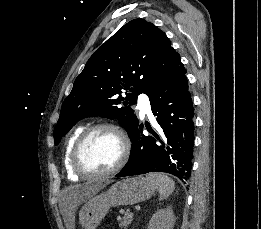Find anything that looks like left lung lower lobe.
Returning <instances> with one entry per match:
<instances>
[{
  "label": "left lung lower lobe",
  "mask_w": 261,
  "mask_h": 229,
  "mask_svg": "<svg viewBox=\"0 0 261 229\" xmlns=\"http://www.w3.org/2000/svg\"><path fill=\"white\" fill-rule=\"evenodd\" d=\"M186 69L180 63L148 94L159 124L154 136L142 135L139 125L130 137L131 156L115 177L149 172H166L183 180L191 174L194 122L193 102L188 90Z\"/></svg>",
  "instance_id": "0a47b994"
}]
</instances>
